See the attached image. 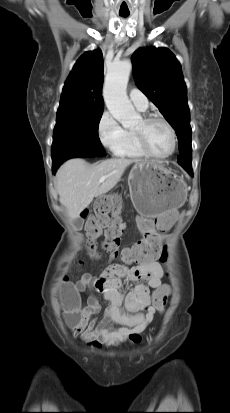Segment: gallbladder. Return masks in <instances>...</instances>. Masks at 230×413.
Segmentation results:
<instances>
[{
    "mask_svg": "<svg viewBox=\"0 0 230 413\" xmlns=\"http://www.w3.org/2000/svg\"><path fill=\"white\" fill-rule=\"evenodd\" d=\"M76 224H77L78 226H80V225H81V222H80V221H77Z\"/></svg>",
    "mask_w": 230,
    "mask_h": 413,
    "instance_id": "gallbladder-1",
    "label": "gallbladder"
}]
</instances>
